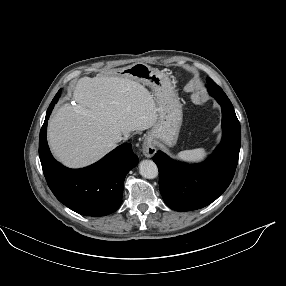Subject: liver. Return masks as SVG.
I'll use <instances>...</instances> for the list:
<instances>
[{"label": "liver", "instance_id": "1", "mask_svg": "<svg viewBox=\"0 0 286 286\" xmlns=\"http://www.w3.org/2000/svg\"><path fill=\"white\" fill-rule=\"evenodd\" d=\"M77 107L64 105L49 120L48 142L70 167L89 165L116 146V139L153 127L158 118L150 92L129 78L83 77L74 87Z\"/></svg>", "mask_w": 286, "mask_h": 286}]
</instances>
